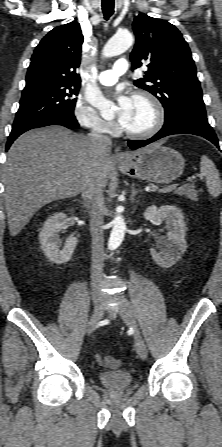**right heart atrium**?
Segmentation results:
<instances>
[{"instance_id": "1", "label": "right heart atrium", "mask_w": 222, "mask_h": 447, "mask_svg": "<svg viewBox=\"0 0 222 447\" xmlns=\"http://www.w3.org/2000/svg\"><path fill=\"white\" fill-rule=\"evenodd\" d=\"M75 120L83 127L99 134H112L115 124L103 119L92 107L78 103L74 109Z\"/></svg>"}]
</instances>
